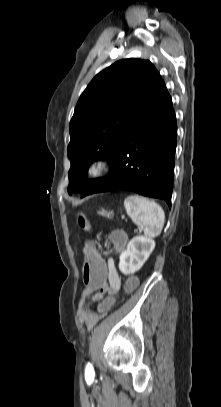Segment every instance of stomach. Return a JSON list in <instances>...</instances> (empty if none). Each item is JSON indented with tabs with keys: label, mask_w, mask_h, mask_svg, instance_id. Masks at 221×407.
<instances>
[{
	"label": "stomach",
	"mask_w": 221,
	"mask_h": 407,
	"mask_svg": "<svg viewBox=\"0 0 221 407\" xmlns=\"http://www.w3.org/2000/svg\"><path fill=\"white\" fill-rule=\"evenodd\" d=\"M99 214L102 216H107V217L110 215V213L106 212L105 210L99 211Z\"/></svg>",
	"instance_id": "1"
}]
</instances>
